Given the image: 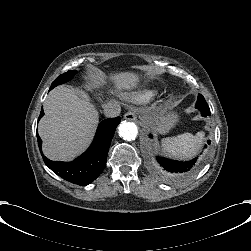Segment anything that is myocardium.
<instances>
[{
    "label": "myocardium",
    "instance_id": "f54148a6",
    "mask_svg": "<svg viewBox=\"0 0 251 251\" xmlns=\"http://www.w3.org/2000/svg\"><path fill=\"white\" fill-rule=\"evenodd\" d=\"M160 97H161V100L162 101H170L171 99L169 98V96H166L164 93H162L161 95H160Z\"/></svg>",
    "mask_w": 251,
    "mask_h": 251
}]
</instances>
